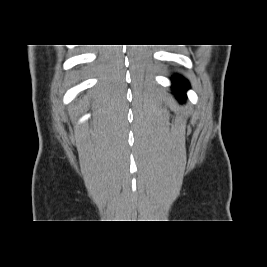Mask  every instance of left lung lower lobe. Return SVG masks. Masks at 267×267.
Listing matches in <instances>:
<instances>
[{"label": "left lung lower lobe", "instance_id": "0a47b994", "mask_svg": "<svg viewBox=\"0 0 267 267\" xmlns=\"http://www.w3.org/2000/svg\"><path fill=\"white\" fill-rule=\"evenodd\" d=\"M189 88L188 82L182 77H177L173 80V89L179 100L186 98V90Z\"/></svg>", "mask_w": 267, "mask_h": 267}]
</instances>
